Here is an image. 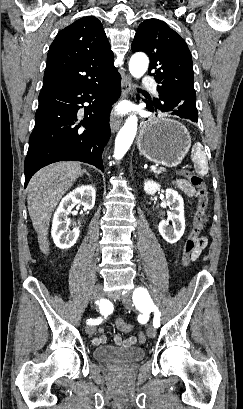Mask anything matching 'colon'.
Listing matches in <instances>:
<instances>
[{
	"mask_svg": "<svg viewBox=\"0 0 243 409\" xmlns=\"http://www.w3.org/2000/svg\"><path fill=\"white\" fill-rule=\"evenodd\" d=\"M185 176L191 186L196 189L198 193V206L193 221V227L188 238L185 241L182 256V264L184 266H188L193 261L192 254L196 248L200 233L204 226L206 218L205 213L208 205V188L206 187L202 177H200L199 175L186 172ZM115 323L117 327L124 332H130L132 330V325L125 322L122 318H117ZM139 340L141 343H144L146 341V336L144 333L139 334Z\"/></svg>",
	"mask_w": 243,
	"mask_h": 409,
	"instance_id": "5ec220e1",
	"label": "colon"
}]
</instances>
